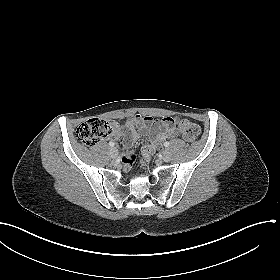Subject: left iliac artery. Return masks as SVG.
I'll return each instance as SVG.
<instances>
[{
  "mask_svg": "<svg viewBox=\"0 0 280 280\" xmlns=\"http://www.w3.org/2000/svg\"><path fill=\"white\" fill-rule=\"evenodd\" d=\"M170 145V143L168 142V141H166L165 143H164V146L165 147H168Z\"/></svg>",
  "mask_w": 280,
  "mask_h": 280,
  "instance_id": "44dca946",
  "label": "left iliac artery"
}]
</instances>
